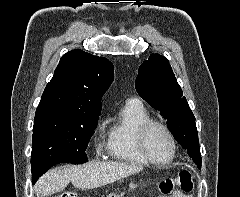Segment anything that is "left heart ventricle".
<instances>
[{"label":"left heart ventricle","instance_id":"left-heart-ventricle-1","mask_svg":"<svg viewBox=\"0 0 240 197\" xmlns=\"http://www.w3.org/2000/svg\"><path fill=\"white\" fill-rule=\"evenodd\" d=\"M147 148L156 160H166L171 156L172 144L167 133L158 126L152 127L146 138Z\"/></svg>","mask_w":240,"mask_h":197}]
</instances>
